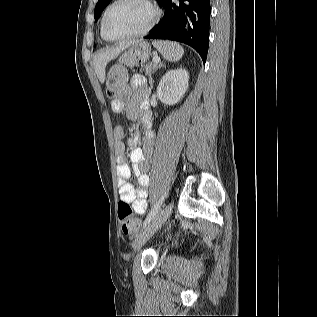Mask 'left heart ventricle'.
Returning a JSON list of instances; mask_svg holds the SVG:
<instances>
[{
	"label": "left heart ventricle",
	"mask_w": 317,
	"mask_h": 317,
	"mask_svg": "<svg viewBox=\"0 0 317 317\" xmlns=\"http://www.w3.org/2000/svg\"><path fill=\"white\" fill-rule=\"evenodd\" d=\"M149 8L140 0H123L109 13L106 32L109 37H122L143 29L150 19Z\"/></svg>",
	"instance_id": "obj_1"
}]
</instances>
